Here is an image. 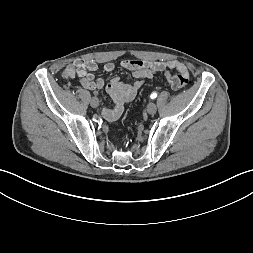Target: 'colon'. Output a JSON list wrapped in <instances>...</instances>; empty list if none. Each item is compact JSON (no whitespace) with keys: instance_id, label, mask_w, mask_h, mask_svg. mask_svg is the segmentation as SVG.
Masks as SVG:
<instances>
[{"instance_id":"obj_1","label":"colon","mask_w":253,"mask_h":253,"mask_svg":"<svg viewBox=\"0 0 253 253\" xmlns=\"http://www.w3.org/2000/svg\"><path fill=\"white\" fill-rule=\"evenodd\" d=\"M65 77L70 76L68 72L64 73ZM165 78L173 89L184 88L188 84V75L181 71H166Z\"/></svg>"}]
</instances>
